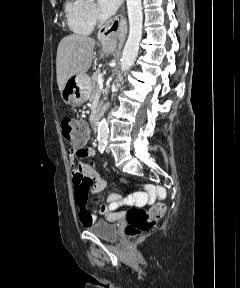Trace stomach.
<instances>
[{
  "mask_svg": "<svg viewBox=\"0 0 240 288\" xmlns=\"http://www.w3.org/2000/svg\"><path fill=\"white\" fill-rule=\"evenodd\" d=\"M102 51L103 53H109L111 49L104 46ZM91 91L92 84L90 77L86 74H81L67 80L61 91V97L67 105L79 107L89 99Z\"/></svg>",
  "mask_w": 240,
  "mask_h": 288,
  "instance_id": "0dacf381",
  "label": "stomach"
}]
</instances>
